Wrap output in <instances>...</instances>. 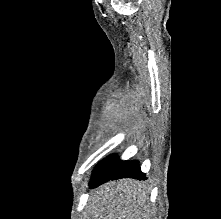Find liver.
I'll list each match as a JSON object with an SVG mask.
<instances>
[{
	"label": "liver",
	"mask_w": 221,
	"mask_h": 219,
	"mask_svg": "<svg viewBox=\"0 0 221 219\" xmlns=\"http://www.w3.org/2000/svg\"><path fill=\"white\" fill-rule=\"evenodd\" d=\"M149 190L142 182L121 179L91 193L86 211L91 219H150Z\"/></svg>",
	"instance_id": "liver-1"
}]
</instances>
